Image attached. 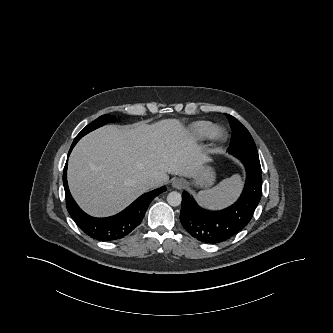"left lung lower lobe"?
Returning <instances> with one entry per match:
<instances>
[{
  "label": "left lung lower lobe",
  "instance_id": "left-lung-lower-lobe-1",
  "mask_svg": "<svg viewBox=\"0 0 333 333\" xmlns=\"http://www.w3.org/2000/svg\"><path fill=\"white\" fill-rule=\"evenodd\" d=\"M242 162L246 169V183L240 198L230 207L209 211L201 208L187 192L182 193L181 224L199 241H226L251 220L262 194L261 168L250 162Z\"/></svg>",
  "mask_w": 333,
  "mask_h": 333
}]
</instances>
